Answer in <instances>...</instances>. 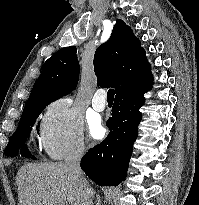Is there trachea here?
<instances>
[{
	"label": "trachea",
	"mask_w": 199,
	"mask_h": 205,
	"mask_svg": "<svg viewBox=\"0 0 199 205\" xmlns=\"http://www.w3.org/2000/svg\"><path fill=\"white\" fill-rule=\"evenodd\" d=\"M114 95H115L114 89L108 90V92H107V100H113L114 99Z\"/></svg>",
	"instance_id": "obj_1"
}]
</instances>
